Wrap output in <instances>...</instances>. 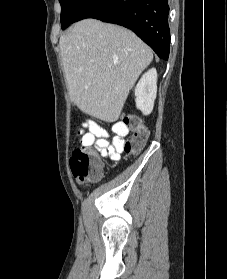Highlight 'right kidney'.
I'll use <instances>...</instances> for the list:
<instances>
[{"label": "right kidney", "mask_w": 227, "mask_h": 279, "mask_svg": "<svg viewBox=\"0 0 227 279\" xmlns=\"http://www.w3.org/2000/svg\"><path fill=\"white\" fill-rule=\"evenodd\" d=\"M157 93V71L155 68L144 73L135 88L136 107L149 115L154 107Z\"/></svg>", "instance_id": "ca27d5eb"}]
</instances>
